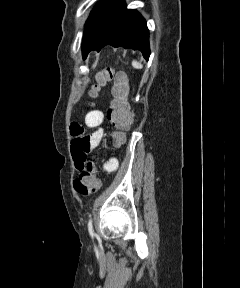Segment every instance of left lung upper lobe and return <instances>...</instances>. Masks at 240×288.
<instances>
[{"label": "left lung upper lobe", "mask_w": 240, "mask_h": 288, "mask_svg": "<svg viewBox=\"0 0 240 288\" xmlns=\"http://www.w3.org/2000/svg\"><path fill=\"white\" fill-rule=\"evenodd\" d=\"M109 2L110 0L100 1L90 13V16L85 24L82 47L86 43L92 32L94 31V29L96 28L102 16L104 15Z\"/></svg>", "instance_id": "1"}]
</instances>
